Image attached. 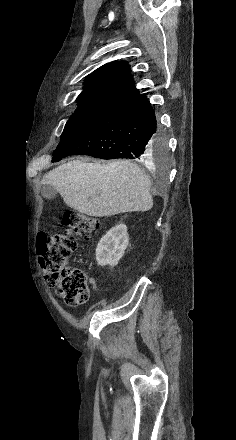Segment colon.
<instances>
[{
  "instance_id": "colon-1",
  "label": "colon",
  "mask_w": 236,
  "mask_h": 440,
  "mask_svg": "<svg viewBox=\"0 0 236 440\" xmlns=\"http://www.w3.org/2000/svg\"><path fill=\"white\" fill-rule=\"evenodd\" d=\"M67 227L63 232L37 235L39 263L45 282L57 289L66 304L81 305L89 299L86 272L69 265V259L77 247L78 240H86L97 232L100 222L80 212L67 211L62 217Z\"/></svg>"
}]
</instances>
